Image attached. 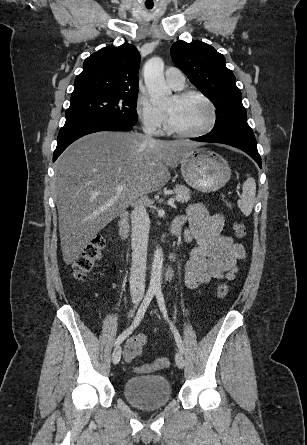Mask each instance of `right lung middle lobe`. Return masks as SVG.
<instances>
[{"mask_svg": "<svg viewBox=\"0 0 307 445\" xmlns=\"http://www.w3.org/2000/svg\"><path fill=\"white\" fill-rule=\"evenodd\" d=\"M137 94H91L72 96L66 120L83 116H105L137 123Z\"/></svg>", "mask_w": 307, "mask_h": 445, "instance_id": "right-lung-middle-lobe-1", "label": "right lung middle lobe"}]
</instances>
